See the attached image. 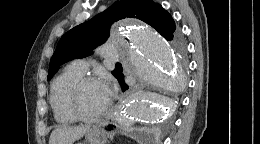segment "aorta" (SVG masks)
<instances>
[{"label": "aorta", "mask_w": 260, "mask_h": 144, "mask_svg": "<svg viewBox=\"0 0 260 144\" xmlns=\"http://www.w3.org/2000/svg\"><path fill=\"white\" fill-rule=\"evenodd\" d=\"M120 40L125 64L140 79L164 89L180 86V63L172 46L154 29L136 23L120 35ZM170 106L167 97L137 92L123 104L120 122L126 126L159 122L166 118Z\"/></svg>", "instance_id": "aorta-1"}]
</instances>
